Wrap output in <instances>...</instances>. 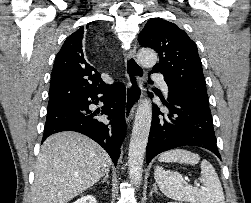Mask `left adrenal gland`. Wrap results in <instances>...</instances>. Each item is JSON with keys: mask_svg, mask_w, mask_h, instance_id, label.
I'll use <instances>...</instances> for the list:
<instances>
[{"mask_svg": "<svg viewBox=\"0 0 251 203\" xmlns=\"http://www.w3.org/2000/svg\"><path fill=\"white\" fill-rule=\"evenodd\" d=\"M154 192H155V193H158V192H157V186H156V184L153 185V189H152V191L150 192V194H153Z\"/></svg>", "mask_w": 251, "mask_h": 203, "instance_id": "left-adrenal-gland-1", "label": "left adrenal gland"}]
</instances>
